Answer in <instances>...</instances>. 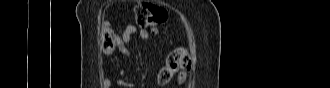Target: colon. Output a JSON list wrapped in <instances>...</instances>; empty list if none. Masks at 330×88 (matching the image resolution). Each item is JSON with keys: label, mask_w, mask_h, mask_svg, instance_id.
<instances>
[{"label": "colon", "mask_w": 330, "mask_h": 88, "mask_svg": "<svg viewBox=\"0 0 330 88\" xmlns=\"http://www.w3.org/2000/svg\"><path fill=\"white\" fill-rule=\"evenodd\" d=\"M135 23L142 28L155 30L166 19L163 8L149 2H139L134 7ZM118 35L112 27L106 23L101 29V49L104 53H112L118 42ZM192 61L188 50L184 47H176L167 55L162 67L157 74V82L160 85L169 84L176 75L182 79L191 69Z\"/></svg>", "instance_id": "colon-1"}]
</instances>
